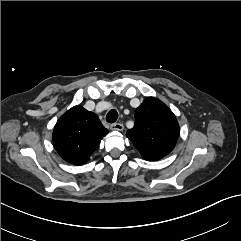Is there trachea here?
I'll list each match as a JSON object with an SVG mask.
<instances>
[{
  "label": "trachea",
  "instance_id": "1",
  "mask_svg": "<svg viewBox=\"0 0 241 241\" xmlns=\"http://www.w3.org/2000/svg\"><path fill=\"white\" fill-rule=\"evenodd\" d=\"M118 118V113L115 109L110 110L106 115V121L109 123H114Z\"/></svg>",
  "mask_w": 241,
  "mask_h": 241
}]
</instances>
